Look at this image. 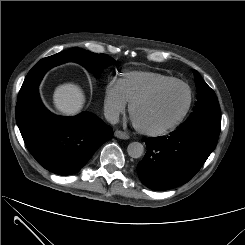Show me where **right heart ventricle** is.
I'll return each instance as SVG.
<instances>
[{
  "label": "right heart ventricle",
  "mask_w": 245,
  "mask_h": 245,
  "mask_svg": "<svg viewBox=\"0 0 245 245\" xmlns=\"http://www.w3.org/2000/svg\"><path fill=\"white\" fill-rule=\"evenodd\" d=\"M173 79L171 76L158 72L133 71L122 75L118 82L125 100L130 104L154 87Z\"/></svg>",
  "instance_id": "1"
}]
</instances>
